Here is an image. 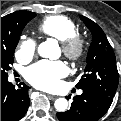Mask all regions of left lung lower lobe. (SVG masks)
Listing matches in <instances>:
<instances>
[{
    "label": "left lung lower lobe",
    "instance_id": "0a47b994",
    "mask_svg": "<svg viewBox=\"0 0 121 121\" xmlns=\"http://www.w3.org/2000/svg\"><path fill=\"white\" fill-rule=\"evenodd\" d=\"M113 97L93 90H83L74 98L68 111L57 113L60 121H97L109 109Z\"/></svg>",
    "mask_w": 121,
    "mask_h": 121
}]
</instances>
